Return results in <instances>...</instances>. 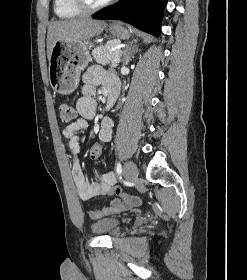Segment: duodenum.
I'll list each match as a JSON object with an SVG mask.
<instances>
[{"mask_svg": "<svg viewBox=\"0 0 247 280\" xmlns=\"http://www.w3.org/2000/svg\"><path fill=\"white\" fill-rule=\"evenodd\" d=\"M118 90L117 89H110L108 91V102H107V108H111L114 102L117 99Z\"/></svg>", "mask_w": 247, "mask_h": 280, "instance_id": "1", "label": "duodenum"}]
</instances>
